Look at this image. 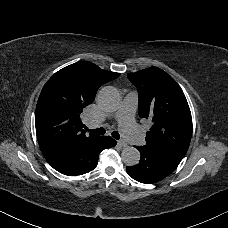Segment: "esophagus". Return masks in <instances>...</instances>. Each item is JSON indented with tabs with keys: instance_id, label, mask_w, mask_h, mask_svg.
I'll list each match as a JSON object with an SVG mask.
<instances>
[{
	"instance_id": "34e87169",
	"label": "esophagus",
	"mask_w": 228,
	"mask_h": 228,
	"mask_svg": "<svg viewBox=\"0 0 228 228\" xmlns=\"http://www.w3.org/2000/svg\"><path fill=\"white\" fill-rule=\"evenodd\" d=\"M117 144H118L119 146H121V147H126V146H127V143H126L125 141H123V140H118V141H117Z\"/></svg>"
}]
</instances>
